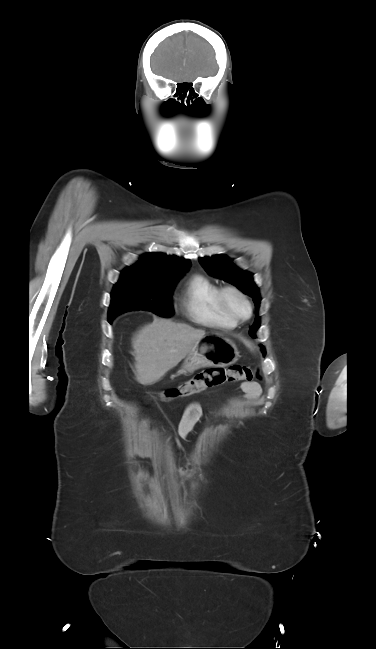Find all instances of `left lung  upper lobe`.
<instances>
[{
    "mask_svg": "<svg viewBox=\"0 0 376 649\" xmlns=\"http://www.w3.org/2000/svg\"><path fill=\"white\" fill-rule=\"evenodd\" d=\"M199 262L210 275L232 283L245 294L251 296L256 309L259 308L261 298L251 273L237 268L227 256L222 254L199 258ZM259 323V317H256L255 323L249 330V334L253 338L256 337L255 333L259 328Z\"/></svg>",
    "mask_w": 376,
    "mask_h": 649,
    "instance_id": "left-lung-upper-lobe-1",
    "label": "left lung upper lobe"
}]
</instances>
